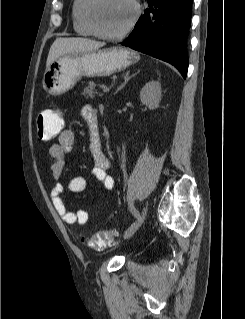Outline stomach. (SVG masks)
<instances>
[{"label": "stomach", "instance_id": "0dacf381", "mask_svg": "<svg viewBox=\"0 0 245 319\" xmlns=\"http://www.w3.org/2000/svg\"><path fill=\"white\" fill-rule=\"evenodd\" d=\"M138 59L135 52L121 47L68 53L53 61L45 70L43 88L49 94L59 96L72 89L82 76H107Z\"/></svg>", "mask_w": 245, "mask_h": 319}]
</instances>
